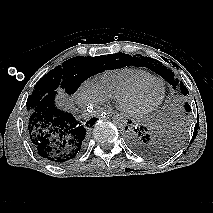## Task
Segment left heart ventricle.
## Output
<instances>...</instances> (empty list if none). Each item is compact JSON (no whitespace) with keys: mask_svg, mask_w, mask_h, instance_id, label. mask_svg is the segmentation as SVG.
Here are the masks:
<instances>
[{"mask_svg":"<svg viewBox=\"0 0 213 213\" xmlns=\"http://www.w3.org/2000/svg\"><path fill=\"white\" fill-rule=\"evenodd\" d=\"M161 95V84L157 80L146 83L139 92L130 100L129 105L140 107L151 104L159 99Z\"/></svg>","mask_w":213,"mask_h":213,"instance_id":"b2bd125f","label":"left heart ventricle"}]
</instances>
